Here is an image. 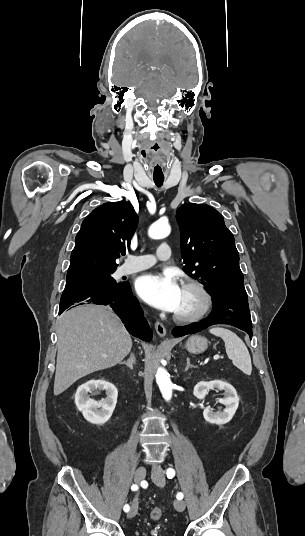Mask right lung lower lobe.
<instances>
[{"label":"right lung lower lobe","mask_w":305,"mask_h":536,"mask_svg":"<svg viewBox=\"0 0 305 536\" xmlns=\"http://www.w3.org/2000/svg\"><path fill=\"white\" fill-rule=\"evenodd\" d=\"M85 303L109 305L126 324L125 327L131 335L147 342L152 339V330L128 283H121L119 287L113 289L65 288L60 300L59 314L68 308Z\"/></svg>","instance_id":"obj_1"}]
</instances>
